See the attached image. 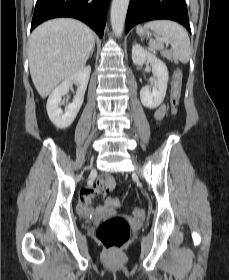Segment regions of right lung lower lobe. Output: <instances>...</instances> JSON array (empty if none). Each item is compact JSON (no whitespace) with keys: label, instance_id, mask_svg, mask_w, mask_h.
I'll list each match as a JSON object with an SVG mask.
<instances>
[{"label":"right lung lower lobe","instance_id":"98d812e1","mask_svg":"<svg viewBox=\"0 0 229 280\" xmlns=\"http://www.w3.org/2000/svg\"><path fill=\"white\" fill-rule=\"evenodd\" d=\"M110 0H37L31 31L42 22L57 18H76L103 37Z\"/></svg>","mask_w":229,"mask_h":280}]
</instances>
